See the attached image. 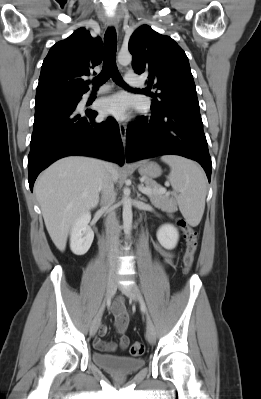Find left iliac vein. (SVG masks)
<instances>
[{"label": "left iliac vein", "mask_w": 261, "mask_h": 399, "mask_svg": "<svg viewBox=\"0 0 261 399\" xmlns=\"http://www.w3.org/2000/svg\"><path fill=\"white\" fill-rule=\"evenodd\" d=\"M120 290L131 300L133 301H138V299L140 298L139 295V290L138 288L133 285V286H127V287H120ZM146 338L148 340L149 343H154L156 340V332H155V328L154 325L152 324V322L150 320H148L147 322V327H146Z\"/></svg>", "instance_id": "obj_1"}]
</instances>
